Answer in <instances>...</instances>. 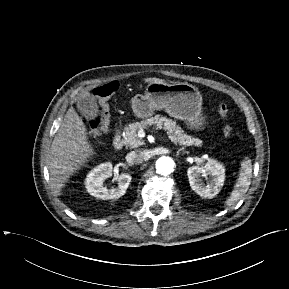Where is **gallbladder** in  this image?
Wrapping results in <instances>:
<instances>
[{"label": "gallbladder", "instance_id": "bac80fb5", "mask_svg": "<svg viewBox=\"0 0 289 289\" xmlns=\"http://www.w3.org/2000/svg\"><path fill=\"white\" fill-rule=\"evenodd\" d=\"M77 109L87 120L96 119L99 113L97 102L91 95L80 98L77 102Z\"/></svg>", "mask_w": 289, "mask_h": 289}]
</instances>
